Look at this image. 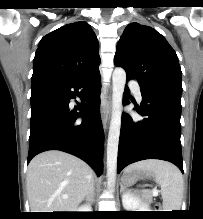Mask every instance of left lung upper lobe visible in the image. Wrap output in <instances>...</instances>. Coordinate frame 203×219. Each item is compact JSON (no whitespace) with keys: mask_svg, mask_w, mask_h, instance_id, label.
<instances>
[{"mask_svg":"<svg viewBox=\"0 0 203 219\" xmlns=\"http://www.w3.org/2000/svg\"><path fill=\"white\" fill-rule=\"evenodd\" d=\"M114 63L125 69L127 78H135L145 89L182 93L181 68L176 52L150 26L134 22L126 27Z\"/></svg>","mask_w":203,"mask_h":219,"instance_id":"obj_1","label":"left lung upper lobe"}]
</instances>
